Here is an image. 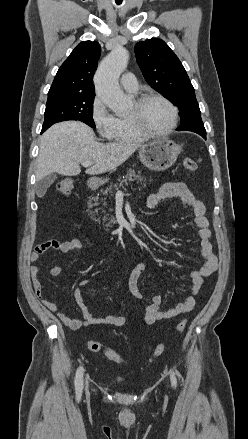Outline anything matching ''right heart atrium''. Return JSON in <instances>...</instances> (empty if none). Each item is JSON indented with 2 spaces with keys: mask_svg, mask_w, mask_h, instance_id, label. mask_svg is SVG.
I'll return each instance as SVG.
<instances>
[{
  "mask_svg": "<svg viewBox=\"0 0 248 439\" xmlns=\"http://www.w3.org/2000/svg\"><path fill=\"white\" fill-rule=\"evenodd\" d=\"M91 118L102 138H112L117 127L118 118L112 114L106 103L99 96L95 97L91 106Z\"/></svg>",
  "mask_w": 248,
  "mask_h": 439,
  "instance_id": "obj_1",
  "label": "right heart atrium"
}]
</instances>
